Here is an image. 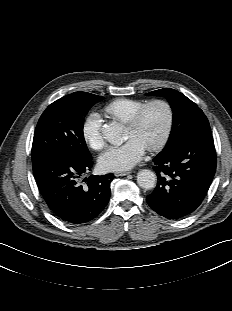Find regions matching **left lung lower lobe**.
<instances>
[{"instance_id":"1","label":"left lung lower lobe","mask_w":232,"mask_h":311,"mask_svg":"<svg viewBox=\"0 0 232 311\" xmlns=\"http://www.w3.org/2000/svg\"><path fill=\"white\" fill-rule=\"evenodd\" d=\"M158 183L148 205L168 219L184 217L202 203L215 174L216 154L210 127L188 134L154 159Z\"/></svg>"}]
</instances>
